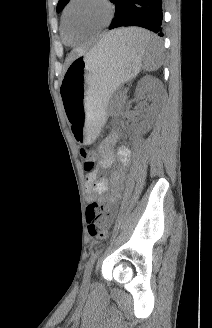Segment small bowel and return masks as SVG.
Segmentation results:
<instances>
[{"mask_svg":"<svg viewBox=\"0 0 212 328\" xmlns=\"http://www.w3.org/2000/svg\"><path fill=\"white\" fill-rule=\"evenodd\" d=\"M112 141L113 138L111 137L102 147L99 165L101 168H109L115 161H118L122 168L113 174L112 181L114 188L111 195L105 199V202L108 203L106 213L102 219V224L105 226L110 225L116 215V203L121 198V186L125 179L124 168L127 166L130 159L129 150L126 147L121 146L116 151H114L110 147ZM85 180L90 189V201L98 200V196L107 190V182L102 178H98L97 169L89 171L86 174Z\"/></svg>","mask_w":212,"mask_h":328,"instance_id":"1","label":"small bowel"}]
</instances>
